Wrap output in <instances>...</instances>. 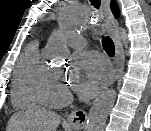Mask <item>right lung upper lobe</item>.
Returning <instances> with one entry per match:
<instances>
[{
	"label": "right lung upper lobe",
	"mask_w": 151,
	"mask_h": 131,
	"mask_svg": "<svg viewBox=\"0 0 151 131\" xmlns=\"http://www.w3.org/2000/svg\"><path fill=\"white\" fill-rule=\"evenodd\" d=\"M111 9L116 18L119 16V10L114 1L111 2Z\"/></svg>",
	"instance_id": "obj_1"
}]
</instances>
